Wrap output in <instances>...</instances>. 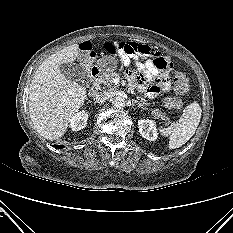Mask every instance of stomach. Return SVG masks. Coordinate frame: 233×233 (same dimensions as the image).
<instances>
[{
  "label": "stomach",
  "mask_w": 233,
  "mask_h": 233,
  "mask_svg": "<svg viewBox=\"0 0 233 233\" xmlns=\"http://www.w3.org/2000/svg\"><path fill=\"white\" fill-rule=\"evenodd\" d=\"M117 67V60L108 56L97 61V68L105 74L113 72Z\"/></svg>",
  "instance_id": "stomach-1"
}]
</instances>
